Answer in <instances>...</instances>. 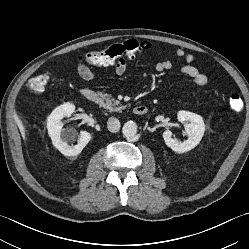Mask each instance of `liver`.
Instances as JSON below:
<instances>
[{
	"label": "liver",
	"mask_w": 249,
	"mask_h": 249,
	"mask_svg": "<svg viewBox=\"0 0 249 249\" xmlns=\"http://www.w3.org/2000/svg\"><path fill=\"white\" fill-rule=\"evenodd\" d=\"M17 124H18V127L20 129V132H21L23 138H25V127H24L22 121L20 119H17Z\"/></svg>",
	"instance_id": "liver-1"
}]
</instances>
